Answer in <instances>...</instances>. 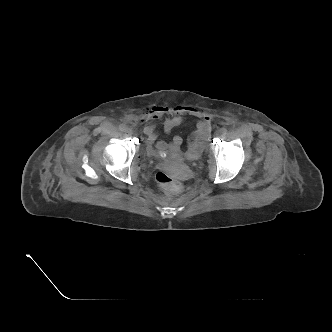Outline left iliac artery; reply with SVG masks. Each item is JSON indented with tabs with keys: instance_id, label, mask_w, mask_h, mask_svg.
Here are the masks:
<instances>
[{
	"instance_id": "left-iliac-artery-1",
	"label": "left iliac artery",
	"mask_w": 332,
	"mask_h": 332,
	"mask_svg": "<svg viewBox=\"0 0 332 332\" xmlns=\"http://www.w3.org/2000/svg\"><path fill=\"white\" fill-rule=\"evenodd\" d=\"M221 131L223 134H227V132H228L227 128H222Z\"/></svg>"
}]
</instances>
